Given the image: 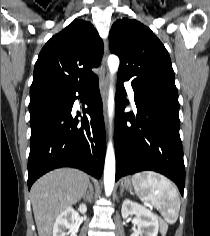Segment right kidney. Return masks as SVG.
Wrapping results in <instances>:
<instances>
[{"instance_id": "obj_1", "label": "right kidney", "mask_w": 210, "mask_h": 236, "mask_svg": "<svg viewBox=\"0 0 210 236\" xmlns=\"http://www.w3.org/2000/svg\"><path fill=\"white\" fill-rule=\"evenodd\" d=\"M79 211L81 213H85L87 211V207L85 204H81L79 206ZM77 212L74 211L72 207H68L64 211H62L56 218V221L53 226V235L52 236H66L70 234V236H77V228L74 224L75 217ZM68 230V232H66Z\"/></svg>"}]
</instances>
